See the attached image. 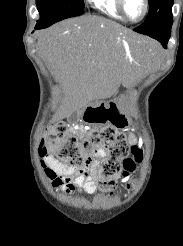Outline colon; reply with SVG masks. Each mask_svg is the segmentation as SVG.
Listing matches in <instances>:
<instances>
[{
	"mask_svg": "<svg viewBox=\"0 0 183 246\" xmlns=\"http://www.w3.org/2000/svg\"><path fill=\"white\" fill-rule=\"evenodd\" d=\"M87 117L90 122L111 124L90 130L80 140L64 123H55L43 132L39 151L43 157L53 155L60 163L82 170L90 163L92 150L100 146L106 148L107 157L99 169L97 187L112 194L117 189L118 178L127 177L134 170L135 163L142 159V152L136 146L130 149L126 135L118 130L124 119L117 113L99 106L88 111Z\"/></svg>",
	"mask_w": 183,
	"mask_h": 246,
	"instance_id": "colon-1",
	"label": "colon"
}]
</instances>
